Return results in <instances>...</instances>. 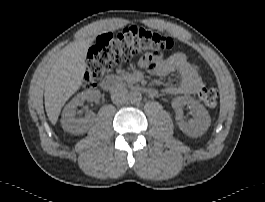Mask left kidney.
<instances>
[{"label":"left kidney","instance_id":"1","mask_svg":"<svg viewBox=\"0 0 265 202\" xmlns=\"http://www.w3.org/2000/svg\"><path fill=\"white\" fill-rule=\"evenodd\" d=\"M187 105L194 114V119L185 121L183 107ZM172 107L176 112V121L180 130L190 137L202 136L211 124V119L205 107L199 101L188 97H176L172 101Z\"/></svg>","mask_w":265,"mask_h":202}]
</instances>
